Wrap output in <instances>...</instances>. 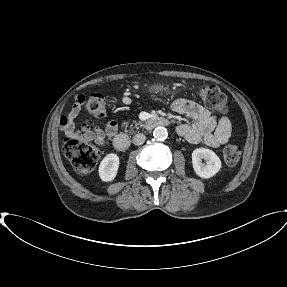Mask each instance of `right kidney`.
<instances>
[{
  "label": "right kidney",
  "mask_w": 287,
  "mask_h": 287,
  "mask_svg": "<svg viewBox=\"0 0 287 287\" xmlns=\"http://www.w3.org/2000/svg\"><path fill=\"white\" fill-rule=\"evenodd\" d=\"M119 163L117 154L111 153L104 157L98 170L100 179L105 182L112 181L117 175Z\"/></svg>",
  "instance_id": "ca27d5eb"
}]
</instances>
